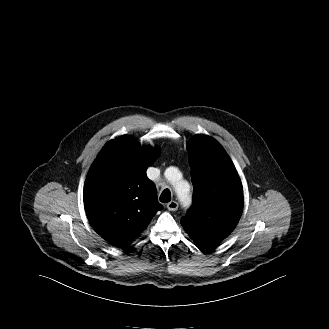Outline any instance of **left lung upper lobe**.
Wrapping results in <instances>:
<instances>
[{
	"label": "left lung upper lobe",
	"instance_id": "left-lung-upper-lobe-1",
	"mask_svg": "<svg viewBox=\"0 0 329 329\" xmlns=\"http://www.w3.org/2000/svg\"><path fill=\"white\" fill-rule=\"evenodd\" d=\"M194 203L181 224L199 244L222 241L236 227L243 209L239 175L221 145L206 135L187 143Z\"/></svg>",
	"mask_w": 329,
	"mask_h": 329
}]
</instances>
